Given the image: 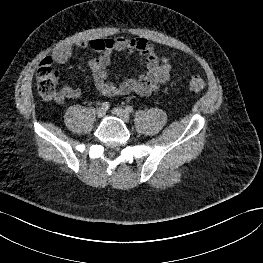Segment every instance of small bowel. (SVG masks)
<instances>
[{"mask_svg":"<svg viewBox=\"0 0 263 263\" xmlns=\"http://www.w3.org/2000/svg\"><path fill=\"white\" fill-rule=\"evenodd\" d=\"M76 48L81 50L92 49L99 52V56L88 61L92 72L93 82L98 92L105 97L137 93L150 95L166 83L170 78L171 63L163 55L156 53L154 45L145 38H96L78 42ZM74 46L65 44L56 48L52 59L56 63H66L73 55ZM114 52L138 53L141 71L135 77L118 78L114 83L109 80L108 66ZM81 95V89L72 85H64L54 97L56 103L66 99H75Z\"/></svg>","mask_w":263,"mask_h":263,"instance_id":"small-bowel-1","label":"small bowel"}]
</instances>
